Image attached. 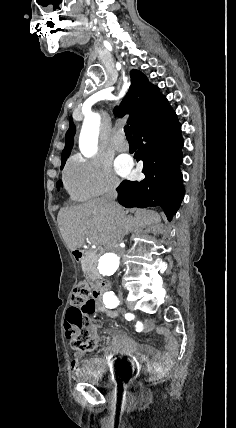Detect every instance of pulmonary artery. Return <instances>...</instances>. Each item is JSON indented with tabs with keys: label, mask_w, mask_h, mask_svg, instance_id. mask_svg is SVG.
<instances>
[{
	"label": "pulmonary artery",
	"mask_w": 236,
	"mask_h": 428,
	"mask_svg": "<svg viewBox=\"0 0 236 428\" xmlns=\"http://www.w3.org/2000/svg\"><path fill=\"white\" fill-rule=\"evenodd\" d=\"M116 150L119 152H126L129 150V144L126 141L120 142L116 145Z\"/></svg>",
	"instance_id": "1"
}]
</instances>
